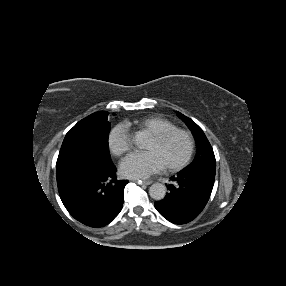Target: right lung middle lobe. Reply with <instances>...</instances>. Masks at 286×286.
<instances>
[{
    "instance_id": "1",
    "label": "right lung middle lobe",
    "mask_w": 286,
    "mask_h": 286,
    "mask_svg": "<svg viewBox=\"0 0 286 286\" xmlns=\"http://www.w3.org/2000/svg\"><path fill=\"white\" fill-rule=\"evenodd\" d=\"M108 112L99 111L79 121L65 136L57 159V166L71 160L95 159L111 161L108 137Z\"/></svg>"
}]
</instances>
